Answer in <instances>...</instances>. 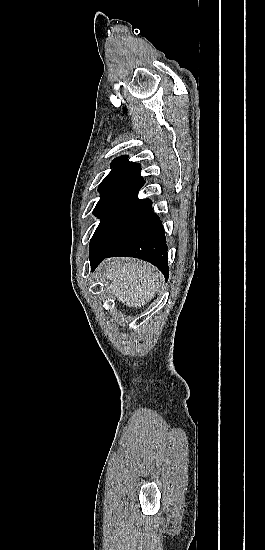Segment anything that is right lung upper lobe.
I'll return each instance as SVG.
<instances>
[{
  "label": "right lung upper lobe",
  "mask_w": 265,
  "mask_h": 550,
  "mask_svg": "<svg viewBox=\"0 0 265 550\" xmlns=\"http://www.w3.org/2000/svg\"><path fill=\"white\" fill-rule=\"evenodd\" d=\"M112 171L105 177L98 187L101 195L125 189H140L145 181L140 175V164L129 162L124 155L114 159L111 163Z\"/></svg>",
  "instance_id": "1"
}]
</instances>
